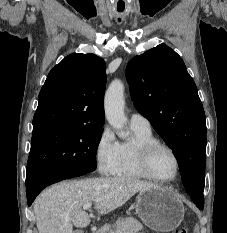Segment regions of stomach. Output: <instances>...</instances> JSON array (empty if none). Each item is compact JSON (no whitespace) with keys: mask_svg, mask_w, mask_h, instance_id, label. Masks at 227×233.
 <instances>
[{"mask_svg":"<svg viewBox=\"0 0 227 233\" xmlns=\"http://www.w3.org/2000/svg\"><path fill=\"white\" fill-rule=\"evenodd\" d=\"M135 209L141 220L157 232L176 229L185 215L180 198L172 191L161 187L140 191L136 197Z\"/></svg>","mask_w":227,"mask_h":233,"instance_id":"stomach-1","label":"stomach"}]
</instances>
